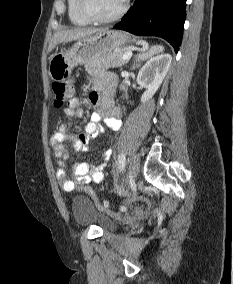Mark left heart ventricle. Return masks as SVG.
Instances as JSON below:
<instances>
[{"label":"left heart ventricle","mask_w":233,"mask_h":284,"mask_svg":"<svg viewBox=\"0 0 233 284\" xmlns=\"http://www.w3.org/2000/svg\"><path fill=\"white\" fill-rule=\"evenodd\" d=\"M124 0H89L91 11L99 17L114 15L122 6Z\"/></svg>","instance_id":"1"}]
</instances>
